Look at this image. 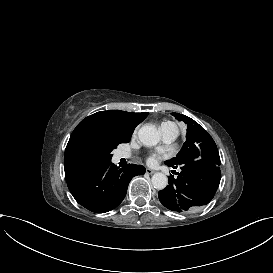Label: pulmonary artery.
I'll use <instances>...</instances> for the list:
<instances>
[{
	"label": "pulmonary artery",
	"instance_id": "e3ab8cb5",
	"mask_svg": "<svg viewBox=\"0 0 273 273\" xmlns=\"http://www.w3.org/2000/svg\"><path fill=\"white\" fill-rule=\"evenodd\" d=\"M162 137L164 142L172 143L178 136V132L176 131V126L173 123H168L167 125H163L161 127ZM127 157V155H123Z\"/></svg>",
	"mask_w": 273,
	"mask_h": 273
}]
</instances>
